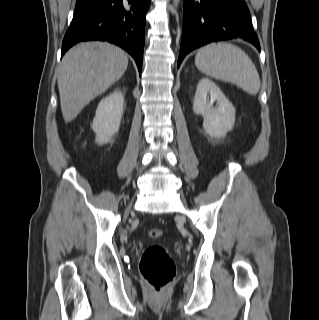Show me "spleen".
<instances>
[{
  "label": "spleen",
  "instance_id": "obj_1",
  "mask_svg": "<svg viewBox=\"0 0 319 320\" xmlns=\"http://www.w3.org/2000/svg\"><path fill=\"white\" fill-rule=\"evenodd\" d=\"M195 65L204 74L236 84L250 95L260 90V77L251 58L230 43H210L200 48Z\"/></svg>",
  "mask_w": 319,
  "mask_h": 320
}]
</instances>
